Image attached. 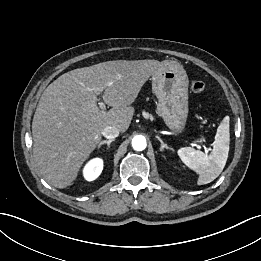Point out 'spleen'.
<instances>
[{
	"mask_svg": "<svg viewBox=\"0 0 261 261\" xmlns=\"http://www.w3.org/2000/svg\"><path fill=\"white\" fill-rule=\"evenodd\" d=\"M229 117H224L217 129L213 149L210 155L192 147L178 150V156L190 169L199 174L198 185H204L215 180L223 171L229 153Z\"/></svg>",
	"mask_w": 261,
	"mask_h": 261,
	"instance_id": "obj_1",
	"label": "spleen"
}]
</instances>
